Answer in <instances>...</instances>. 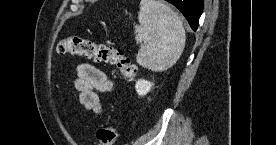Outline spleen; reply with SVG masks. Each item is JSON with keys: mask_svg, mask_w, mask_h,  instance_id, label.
<instances>
[{"mask_svg": "<svg viewBox=\"0 0 276 145\" xmlns=\"http://www.w3.org/2000/svg\"><path fill=\"white\" fill-rule=\"evenodd\" d=\"M135 40L140 44L137 63L151 71L172 67L183 53L186 33L179 16L166 4L141 0Z\"/></svg>", "mask_w": 276, "mask_h": 145, "instance_id": "3e777b00", "label": "spleen"}]
</instances>
